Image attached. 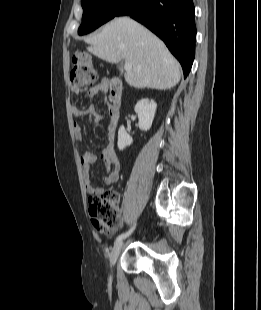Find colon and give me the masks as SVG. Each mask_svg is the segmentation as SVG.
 <instances>
[{
	"label": "colon",
	"instance_id": "colon-1",
	"mask_svg": "<svg viewBox=\"0 0 261 310\" xmlns=\"http://www.w3.org/2000/svg\"><path fill=\"white\" fill-rule=\"evenodd\" d=\"M98 80V71L89 55L79 53L73 56L70 69V82L73 88L92 86ZM118 193L109 189L88 200L89 213L94 227L105 234L114 233L120 225L117 208Z\"/></svg>",
	"mask_w": 261,
	"mask_h": 310
}]
</instances>
